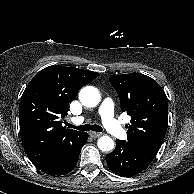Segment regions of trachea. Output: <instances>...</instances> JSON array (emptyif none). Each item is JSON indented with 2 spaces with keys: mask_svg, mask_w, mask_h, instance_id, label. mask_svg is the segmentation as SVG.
Masks as SVG:
<instances>
[{
  "mask_svg": "<svg viewBox=\"0 0 194 194\" xmlns=\"http://www.w3.org/2000/svg\"><path fill=\"white\" fill-rule=\"evenodd\" d=\"M67 126L71 127V128H74V129H77V130H81V131H90V130L96 131V132H102L103 131L102 127L99 126V125H96V124H94V125L85 124V125H80V126H74L72 124L67 123Z\"/></svg>",
  "mask_w": 194,
  "mask_h": 194,
  "instance_id": "obj_1",
  "label": "trachea"
}]
</instances>
